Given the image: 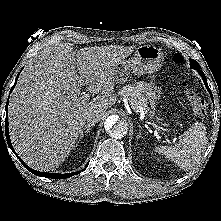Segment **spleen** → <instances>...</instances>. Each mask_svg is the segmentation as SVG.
Wrapping results in <instances>:
<instances>
[{"label":"spleen","mask_w":221,"mask_h":221,"mask_svg":"<svg viewBox=\"0 0 221 221\" xmlns=\"http://www.w3.org/2000/svg\"><path fill=\"white\" fill-rule=\"evenodd\" d=\"M206 144V129L201 122H196L181 135L179 142L174 146H158L155 151L182 169L190 170L199 162Z\"/></svg>","instance_id":"spleen-1"}]
</instances>
